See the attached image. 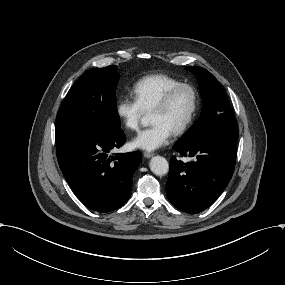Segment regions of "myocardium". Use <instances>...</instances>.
<instances>
[{
    "label": "myocardium",
    "instance_id": "1",
    "mask_svg": "<svg viewBox=\"0 0 285 285\" xmlns=\"http://www.w3.org/2000/svg\"><path fill=\"white\" fill-rule=\"evenodd\" d=\"M184 87L188 88L191 91L192 104H191L190 110H189L188 114L186 115V117L180 123L175 125L174 128L172 129V131L175 133H179V132L184 131L189 126V124L192 122V120L194 119V116H195V114L198 110V106H199V92H198L196 86L193 85L192 83H189V82H179L176 85L169 88L165 92V94L161 97V99L152 108V110L167 108L170 105L175 93L179 89L184 88Z\"/></svg>",
    "mask_w": 285,
    "mask_h": 285
}]
</instances>
